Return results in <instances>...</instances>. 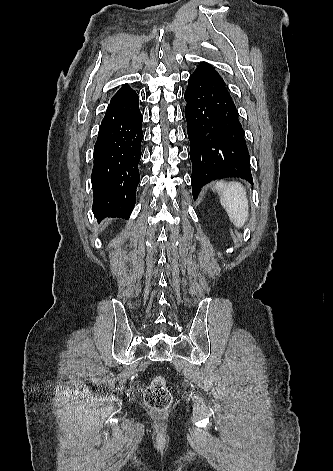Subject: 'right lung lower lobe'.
<instances>
[{"label": "right lung lower lobe", "mask_w": 333, "mask_h": 471, "mask_svg": "<svg viewBox=\"0 0 333 471\" xmlns=\"http://www.w3.org/2000/svg\"><path fill=\"white\" fill-rule=\"evenodd\" d=\"M136 92L125 84L112 97L94 146L92 211L97 219L129 218L140 182L142 114Z\"/></svg>", "instance_id": "98d812e1"}]
</instances>
